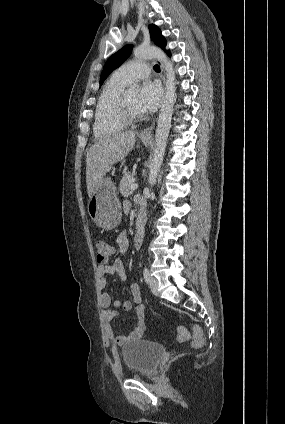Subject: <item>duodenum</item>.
Returning <instances> with one entry per match:
<instances>
[{"instance_id":"1","label":"duodenum","mask_w":285,"mask_h":424,"mask_svg":"<svg viewBox=\"0 0 285 424\" xmlns=\"http://www.w3.org/2000/svg\"><path fill=\"white\" fill-rule=\"evenodd\" d=\"M145 224H146V216L144 213H140L136 220V225H135V231H136L137 237L143 236Z\"/></svg>"}]
</instances>
